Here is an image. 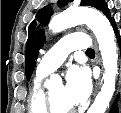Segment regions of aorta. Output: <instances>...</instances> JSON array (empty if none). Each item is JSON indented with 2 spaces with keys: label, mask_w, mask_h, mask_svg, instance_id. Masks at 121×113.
<instances>
[{
  "label": "aorta",
  "mask_w": 121,
  "mask_h": 113,
  "mask_svg": "<svg viewBox=\"0 0 121 113\" xmlns=\"http://www.w3.org/2000/svg\"><path fill=\"white\" fill-rule=\"evenodd\" d=\"M80 23L86 24L95 34L105 69L104 83L87 113H105L115 90L118 60L114 32L108 19L95 9H68L51 19L49 29L58 33ZM54 80L52 76L50 83Z\"/></svg>",
  "instance_id": "762f6f07"
}]
</instances>
